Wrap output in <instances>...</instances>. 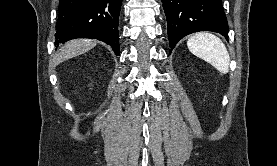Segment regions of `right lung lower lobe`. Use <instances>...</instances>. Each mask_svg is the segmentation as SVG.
<instances>
[{"label":"right lung lower lobe","mask_w":277,"mask_h":166,"mask_svg":"<svg viewBox=\"0 0 277 166\" xmlns=\"http://www.w3.org/2000/svg\"><path fill=\"white\" fill-rule=\"evenodd\" d=\"M122 0H60L55 44L98 39L119 55L118 18Z\"/></svg>","instance_id":"obj_1"}]
</instances>
